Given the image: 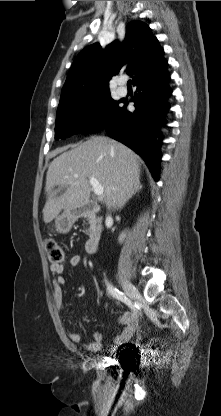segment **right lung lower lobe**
Masks as SVG:
<instances>
[{"mask_svg":"<svg viewBox=\"0 0 221 416\" xmlns=\"http://www.w3.org/2000/svg\"><path fill=\"white\" fill-rule=\"evenodd\" d=\"M169 80L166 68L138 80L134 84L138 93L132 99L135 111L129 112L119 106L101 129L139 154L156 181L159 179L161 158L156 138L159 128L166 123L165 116L169 110L167 99L172 93L168 86ZM120 103L128 104L124 101Z\"/></svg>","mask_w":221,"mask_h":416,"instance_id":"obj_1","label":"right lung lower lobe"}]
</instances>
